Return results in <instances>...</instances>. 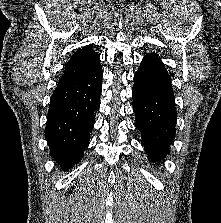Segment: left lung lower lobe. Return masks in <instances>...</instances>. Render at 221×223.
Listing matches in <instances>:
<instances>
[{
  "label": "left lung lower lobe",
  "instance_id": "left-lung-lower-lobe-1",
  "mask_svg": "<svg viewBox=\"0 0 221 223\" xmlns=\"http://www.w3.org/2000/svg\"><path fill=\"white\" fill-rule=\"evenodd\" d=\"M132 94L142 145L149 159L161 161L175 138L177 112L170 77L157 55L150 53L142 60Z\"/></svg>",
  "mask_w": 221,
  "mask_h": 223
}]
</instances>
